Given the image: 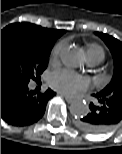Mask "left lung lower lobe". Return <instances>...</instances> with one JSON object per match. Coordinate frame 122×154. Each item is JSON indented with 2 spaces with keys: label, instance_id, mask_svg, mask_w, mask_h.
Here are the masks:
<instances>
[{
  "label": "left lung lower lobe",
  "instance_id": "obj_1",
  "mask_svg": "<svg viewBox=\"0 0 122 154\" xmlns=\"http://www.w3.org/2000/svg\"><path fill=\"white\" fill-rule=\"evenodd\" d=\"M93 96L95 102L90 103L88 114L77 120L76 125L88 133L107 132L122 120V99L102 92Z\"/></svg>",
  "mask_w": 122,
  "mask_h": 154
}]
</instances>
